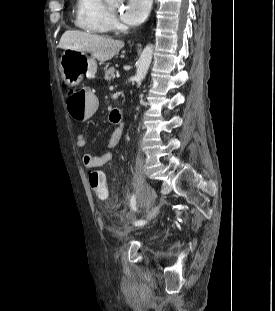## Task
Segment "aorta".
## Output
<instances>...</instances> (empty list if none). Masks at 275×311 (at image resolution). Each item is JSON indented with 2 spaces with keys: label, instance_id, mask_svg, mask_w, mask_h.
Returning a JSON list of instances; mask_svg holds the SVG:
<instances>
[{
  "label": "aorta",
  "instance_id": "762f6f07",
  "mask_svg": "<svg viewBox=\"0 0 275 311\" xmlns=\"http://www.w3.org/2000/svg\"><path fill=\"white\" fill-rule=\"evenodd\" d=\"M109 4H119L121 3L123 0H106ZM152 54H153V45L149 44L147 45L141 55L140 58L137 62V70H136V74L134 77V80L136 81V83L138 85L141 84V82L143 81V79L145 78L147 71L149 69L151 60H152Z\"/></svg>",
  "mask_w": 275,
  "mask_h": 311
}]
</instances>
